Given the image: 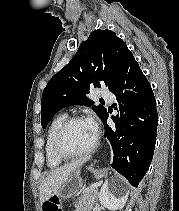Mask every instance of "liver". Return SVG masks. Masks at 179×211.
<instances>
[{"instance_id": "liver-1", "label": "liver", "mask_w": 179, "mask_h": 211, "mask_svg": "<svg viewBox=\"0 0 179 211\" xmlns=\"http://www.w3.org/2000/svg\"><path fill=\"white\" fill-rule=\"evenodd\" d=\"M83 163L84 160H77L51 171L40 185V203L43 204L46 200L56 194L68 177L76 170H79Z\"/></svg>"}]
</instances>
